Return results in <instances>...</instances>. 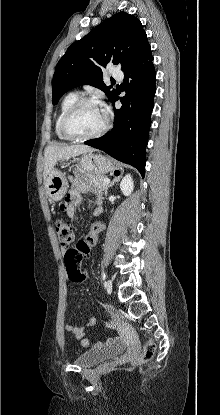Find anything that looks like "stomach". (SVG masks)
<instances>
[{
    "mask_svg": "<svg viewBox=\"0 0 220 415\" xmlns=\"http://www.w3.org/2000/svg\"><path fill=\"white\" fill-rule=\"evenodd\" d=\"M78 161V168L80 170L94 175H103L117 169V166L111 159L102 154H94L93 152L83 154ZM45 189L50 200H61L68 189L65 174L53 169L47 177Z\"/></svg>",
    "mask_w": 220,
    "mask_h": 415,
    "instance_id": "stomach-1",
    "label": "stomach"
}]
</instances>
